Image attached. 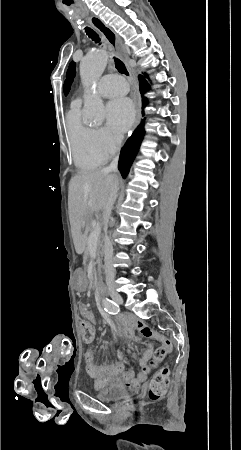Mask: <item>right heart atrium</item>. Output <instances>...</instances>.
<instances>
[{
  "label": "right heart atrium",
  "mask_w": 241,
  "mask_h": 450,
  "mask_svg": "<svg viewBox=\"0 0 241 450\" xmlns=\"http://www.w3.org/2000/svg\"><path fill=\"white\" fill-rule=\"evenodd\" d=\"M93 136L95 138L99 137V140L103 146L98 144L97 149L106 157L112 156L114 152L110 149H116L120 143V139L118 137L112 135L111 133H109L107 130L104 129L101 131H94Z\"/></svg>",
  "instance_id": "obj_1"
}]
</instances>
